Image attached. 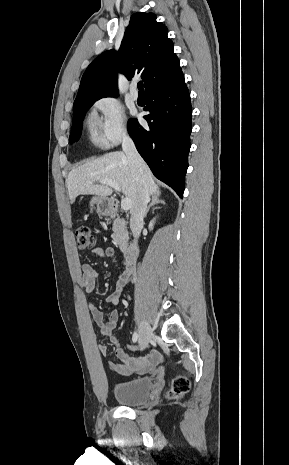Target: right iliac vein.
Returning a JSON list of instances; mask_svg holds the SVG:
<instances>
[{
  "label": "right iliac vein",
  "instance_id": "right-iliac-vein-1",
  "mask_svg": "<svg viewBox=\"0 0 289 465\" xmlns=\"http://www.w3.org/2000/svg\"><path fill=\"white\" fill-rule=\"evenodd\" d=\"M153 336V330L146 321H142L139 328V343L141 349H145L148 346L149 341Z\"/></svg>",
  "mask_w": 289,
  "mask_h": 465
}]
</instances>
